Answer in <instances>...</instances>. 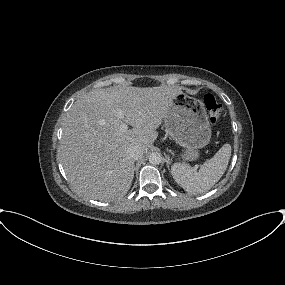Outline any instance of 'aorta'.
<instances>
[{
	"label": "aorta",
	"mask_w": 285,
	"mask_h": 285,
	"mask_svg": "<svg viewBox=\"0 0 285 285\" xmlns=\"http://www.w3.org/2000/svg\"><path fill=\"white\" fill-rule=\"evenodd\" d=\"M149 162H150V164H152V165H158V164H160L161 163V161H162V156H161V154L160 153H158V152H153V153H151L150 155H149Z\"/></svg>",
	"instance_id": "1"
}]
</instances>
